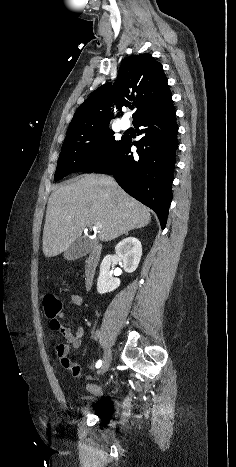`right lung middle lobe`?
<instances>
[{
	"mask_svg": "<svg viewBox=\"0 0 236 467\" xmlns=\"http://www.w3.org/2000/svg\"><path fill=\"white\" fill-rule=\"evenodd\" d=\"M127 137L116 140L109 128L66 134L58 159L55 181L70 173H92L106 164L121 149Z\"/></svg>",
	"mask_w": 236,
	"mask_h": 467,
	"instance_id": "1",
	"label": "right lung middle lobe"
}]
</instances>
